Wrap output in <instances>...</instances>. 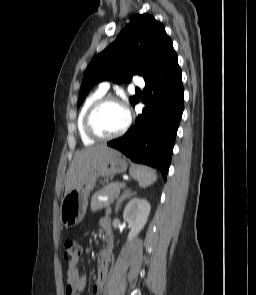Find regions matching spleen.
I'll use <instances>...</instances> for the list:
<instances>
[{
  "label": "spleen",
  "instance_id": "3e777b00",
  "mask_svg": "<svg viewBox=\"0 0 256 295\" xmlns=\"http://www.w3.org/2000/svg\"><path fill=\"white\" fill-rule=\"evenodd\" d=\"M131 172L142 188L152 185L157 180L156 172L152 168L144 165L134 166Z\"/></svg>",
  "mask_w": 256,
  "mask_h": 295
}]
</instances>
